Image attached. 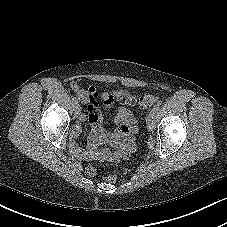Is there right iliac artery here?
<instances>
[{"label":"right iliac artery","mask_w":227,"mask_h":227,"mask_svg":"<svg viewBox=\"0 0 227 227\" xmlns=\"http://www.w3.org/2000/svg\"><path fill=\"white\" fill-rule=\"evenodd\" d=\"M72 102H73L74 104H77V103H78L77 98H76V97H73V98H72Z\"/></svg>","instance_id":"right-iliac-artery-1"}]
</instances>
